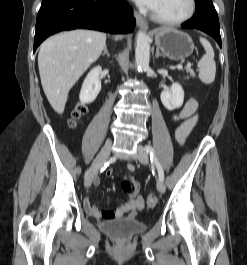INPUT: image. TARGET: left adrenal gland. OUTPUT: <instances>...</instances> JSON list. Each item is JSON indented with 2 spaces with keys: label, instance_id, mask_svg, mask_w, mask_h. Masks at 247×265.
Returning a JSON list of instances; mask_svg holds the SVG:
<instances>
[{
  "label": "left adrenal gland",
  "instance_id": "left-adrenal-gland-1",
  "mask_svg": "<svg viewBox=\"0 0 247 265\" xmlns=\"http://www.w3.org/2000/svg\"><path fill=\"white\" fill-rule=\"evenodd\" d=\"M160 56H162V55L160 54L159 49H156V55H155V57L156 58H159Z\"/></svg>",
  "mask_w": 247,
  "mask_h": 265
}]
</instances>
